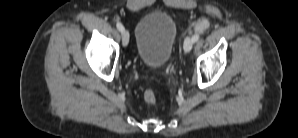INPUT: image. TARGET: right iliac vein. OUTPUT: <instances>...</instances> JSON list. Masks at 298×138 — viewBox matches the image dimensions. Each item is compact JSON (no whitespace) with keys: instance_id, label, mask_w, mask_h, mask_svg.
Listing matches in <instances>:
<instances>
[{"instance_id":"right-iliac-vein-1","label":"right iliac vein","mask_w":298,"mask_h":138,"mask_svg":"<svg viewBox=\"0 0 298 138\" xmlns=\"http://www.w3.org/2000/svg\"><path fill=\"white\" fill-rule=\"evenodd\" d=\"M122 36H123L124 42H127L129 38V33L126 30H122Z\"/></svg>"}]
</instances>
